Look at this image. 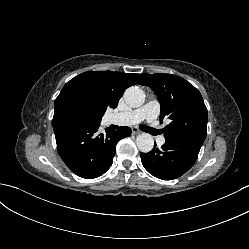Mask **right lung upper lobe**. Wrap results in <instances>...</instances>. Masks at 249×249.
I'll return each mask as SVG.
<instances>
[{"mask_svg": "<svg viewBox=\"0 0 249 249\" xmlns=\"http://www.w3.org/2000/svg\"><path fill=\"white\" fill-rule=\"evenodd\" d=\"M144 78L145 74L88 71L67 82L59 96L66 93L86 96L92 101L96 116L102 118L108 107H117L119 99L128 87L141 84Z\"/></svg>", "mask_w": 249, "mask_h": 249, "instance_id": "1", "label": "right lung upper lobe"}]
</instances>
